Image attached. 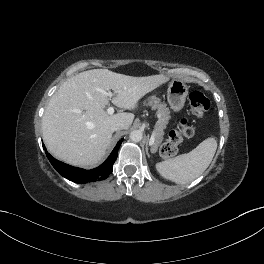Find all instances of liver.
Returning a JSON list of instances; mask_svg holds the SVG:
<instances>
[{
    "mask_svg": "<svg viewBox=\"0 0 264 264\" xmlns=\"http://www.w3.org/2000/svg\"><path fill=\"white\" fill-rule=\"evenodd\" d=\"M164 75L133 77L107 69L81 72L65 81L51 97L42 118V134L49 152L74 166L96 165L111 143L112 126L123 123L128 129L133 113L108 114L111 100L133 110L139 100L166 83ZM113 90V97L107 91Z\"/></svg>",
    "mask_w": 264,
    "mask_h": 264,
    "instance_id": "liver-1",
    "label": "liver"
}]
</instances>
